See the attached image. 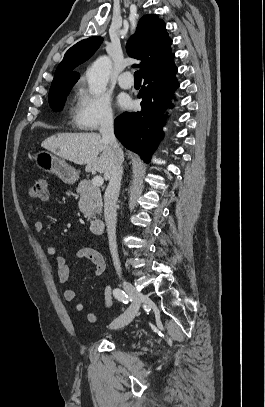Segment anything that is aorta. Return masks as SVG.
Segmentation results:
<instances>
[{
	"mask_svg": "<svg viewBox=\"0 0 265 407\" xmlns=\"http://www.w3.org/2000/svg\"><path fill=\"white\" fill-rule=\"evenodd\" d=\"M111 68L112 63L110 58L101 56L86 71L89 92L92 95H99L105 90Z\"/></svg>",
	"mask_w": 265,
	"mask_h": 407,
	"instance_id": "obj_1",
	"label": "aorta"
}]
</instances>
